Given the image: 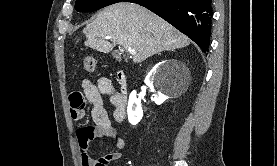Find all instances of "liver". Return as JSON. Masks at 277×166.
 Wrapping results in <instances>:
<instances>
[{
    "mask_svg": "<svg viewBox=\"0 0 277 166\" xmlns=\"http://www.w3.org/2000/svg\"><path fill=\"white\" fill-rule=\"evenodd\" d=\"M85 46L109 53L118 44L135 50L134 63L164 52L186 47L190 40L171 24L134 3H116L103 8L84 29ZM106 36H110L107 41Z\"/></svg>",
    "mask_w": 277,
    "mask_h": 166,
    "instance_id": "liver-1",
    "label": "liver"
}]
</instances>
